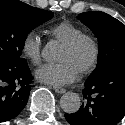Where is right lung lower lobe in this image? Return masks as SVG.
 <instances>
[{
    "label": "right lung lower lobe",
    "instance_id": "1",
    "mask_svg": "<svg viewBox=\"0 0 125 125\" xmlns=\"http://www.w3.org/2000/svg\"><path fill=\"white\" fill-rule=\"evenodd\" d=\"M32 87L27 62L10 65L0 59V123L15 118L25 107Z\"/></svg>",
    "mask_w": 125,
    "mask_h": 125
}]
</instances>
